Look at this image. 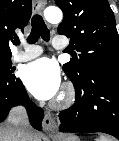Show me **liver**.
Wrapping results in <instances>:
<instances>
[{"mask_svg": "<svg viewBox=\"0 0 119 141\" xmlns=\"http://www.w3.org/2000/svg\"><path fill=\"white\" fill-rule=\"evenodd\" d=\"M27 139L28 141H37L38 135L30 128ZM0 141H16L14 127L9 121L0 124Z\"/></svg>", "mask_w": 119, "mask_h": 141, "instance_id": "obj_1", "label": "liver"}]
</instances>
